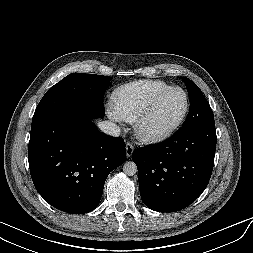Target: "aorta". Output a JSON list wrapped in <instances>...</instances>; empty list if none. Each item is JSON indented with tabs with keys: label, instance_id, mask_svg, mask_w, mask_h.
<instances>
[{
	"label": "aorta",
	"instance_id": "obj_1",
	"mask_svg": "<svg viewBox=\"0 0 253 253\" xmlns=\"http://www.w3.org/2000/svg\"><path fill=\"white\" fill-rule=\"evenodd\" d=\"M123 172L127 176H133L137 173V165L133 161H127L123 165Z\"/></svg>",
	"mask_w": 253,
	"mask_h": 253
}]
</instances>
